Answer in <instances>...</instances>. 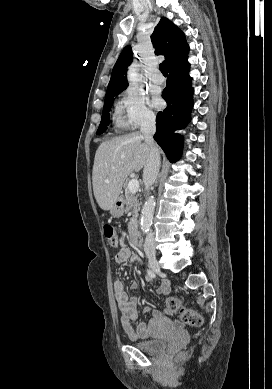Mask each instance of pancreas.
I'll list each match as a JSON object with an SVG mask.
<instances>
[{"mask_svg":"<svg viewBox=\"0 0 272 389\" xmlns=\"http://www.w3.org/2000/svg\"><path fill=\"white\" fill-rule=\"evenodd\" d=\"M124 202L126 204V212L131 211L132 212V218L130 219V222L128 223V229L129 231H132L134 227L137 225V218H138V212L140 210V203L137 199V196L135 193H131L127 191L124 195Z\"/></svg>","mask_w":272,"mask_h":389,"instance_id":"pancreas-1","label":"pancreas"}]
</instances>
